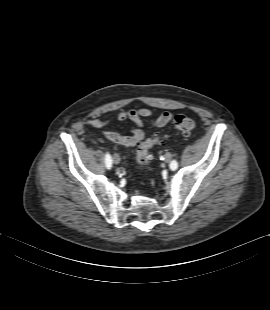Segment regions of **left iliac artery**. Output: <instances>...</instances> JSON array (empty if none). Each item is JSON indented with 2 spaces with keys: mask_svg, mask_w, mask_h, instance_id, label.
I'll use <instances>...</instances> for the list:
<instances>
[{
  "mask_svg": "<svg viewBox=\"0 0 270 310\" xmlns=\"http://www.w3.org/2000/svg\"><path fill=\"white\" fill-rule=\"evenodd\" d=\"M177 167H178V163H177L175 160L172 161L171 164H170V168H171L172 170H176Z\"/></svg>",
  "mask_w": 270,
  "mask_h": 310,
  "instance_id": "left-iliac-artery-1",
  "label": "left iliac artery"
}]
</instances>
